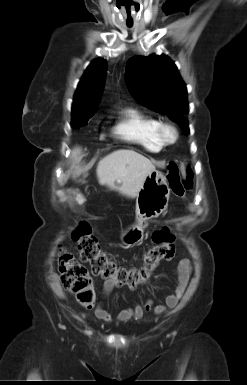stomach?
Here are the masks:
<instances>
[{
  "label": "stomach",
  "instance_id": "obj_1",
  "mask_svg": "<svg viewBox=\"0 0 247 385\" xmlns=\"http://www.w3.org/2000/svg\"><path fill=\"white\" fill-rule=\"evenodd\" d=\"M170 189L165 176L154 170L146 177L136 198L137 222L121 233V241L130 247L143 239L149 219L158 217L168 206Z\"/></svg>",
  "mask_w": 247,
  "mask_h": 385
}]
</instances>
